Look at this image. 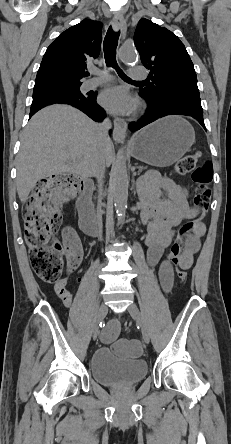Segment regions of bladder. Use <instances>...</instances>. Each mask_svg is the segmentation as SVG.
<instances>
[{"mask_svg": "<svg viewBox=\"0 0 231 444\" xmlns=\"http://www.w3.org/2000/svg\"><path fill=\"white\" fill-rule=\"evenodd\" d=\"M147 370L144 360L117 357L109 347L97 349L90 359L93 379L106 386L136 384L146 376Z\"/></svg>", "mask_w": 231, "mask_h": 444, "instance_id": "1", "label": "bladder"}]
</instances>
